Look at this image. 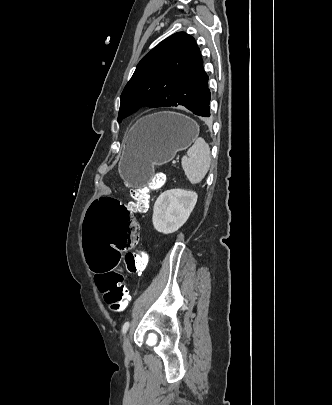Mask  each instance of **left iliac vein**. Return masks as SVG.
Returning a JSON list of instances; mask_svg holds the SVG:
<instances>
[{"label":"left iliac vein","instance_id":"obj_1","mask_svg":"<svg viewBox=\"0 0 332 405\" xmlns=\"http://www.w3.org/2000/svg\"><path fill=\"white\" fill-rule=\"evenodd\" d=\"M123 350L126 356L130 357L133 354V349L129 341L128 335H125L123 338Z\"/></svg>","mask_w":332,"mask_h":405}]
</instances>
